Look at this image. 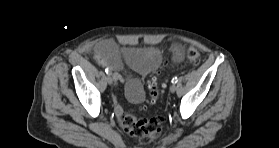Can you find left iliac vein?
<instances>
[{"label":"left iliac vein","instance_id":"4c4485c4","mask_svg":"<svg viewBox=\"0 0 279 148\" xmlns=\"http://www.w3.org/2000/svg\"><path fill=\"white\" fill-rule=\"evenodd\" d=\"M170 92L171 93H174L176 91V85L175 84H172L169 88Z\"/></svg>","mask_w":279,"mask_h":148}]
</instances>
